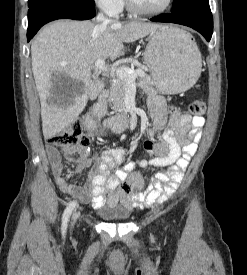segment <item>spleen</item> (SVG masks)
<instances>
[{"mask_svg":"<svg viewBox=\"0 0 247 275\" xmlns=\"http://www.w3.org/2000/svg\"><path fill=\"white\" fill-rule=\"evenodd\" d=\"M187 37L190 39L191 38V36L190 35H187Z\"/></svg>","mask_w":247,"mask_h":275,"instance_id":"obj_1","label":"spleen"}]
</instances>
